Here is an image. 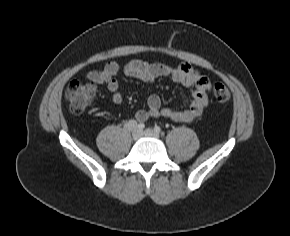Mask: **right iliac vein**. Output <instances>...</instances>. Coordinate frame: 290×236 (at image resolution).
I'll return each mask as SVG.
<instances>
[{
  "instance_id": "obj_1",
  "label": "right iliac vein",
  "mask_w": 290,
  "mask_h": 236,
  "mask_svg": "<svg viewBox=\"0 0 290 236\" xmlns=\"http://www.w3.org/2000/svg\"><path fill=\"white\" fill-rule=\"evenodd\" d=\"M142 133L137 129L134 130L132 133V137L134 140H138L141 137Z\"/></svg>"
}]
</instances>
